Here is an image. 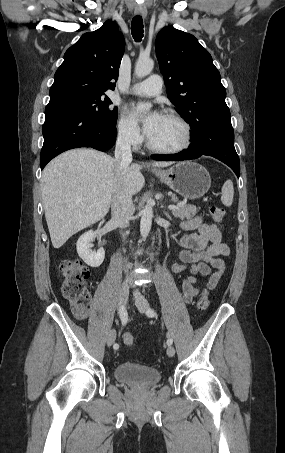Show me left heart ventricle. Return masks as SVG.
<instances>
[{"label":"left heart ventricle","mask_w":285,"mask_h":453,"mask_svg":"<svg viewBox=\"0 0 285 453\" xmlns=\"http://www.w3.org/2000/svg\"><path fill=\"white\" fill-rule=\"evenodd\" d=\"M149 138L156 146L175 148L184 142L185 133L178 121L162 115Z\"/></svg>","instance_id":"b2bd125f"}]
</instances>
